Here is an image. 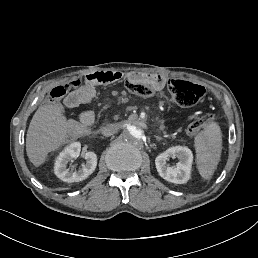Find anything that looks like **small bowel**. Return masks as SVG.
<instances>
[{
  "label": "small bowel",
  "mask_w": 258,
  "mask_h": 258,
  "mask_svg": "<svg viewBox=\"0 0 258 258\" xmlns=\"http://www.w3.org/2000/svg\"><path fill=\"white\" fill-rule=\"evenodd\" d=\"M95 94L96 88L85 84L81 89L70 93L64 102L69 107H75L89 102ZM79 120L84 126H91L94 122V114L91 111H84L80 114Z\"/></svg>",
  "instance_id": "c3829d8e"
}]
</instances>
